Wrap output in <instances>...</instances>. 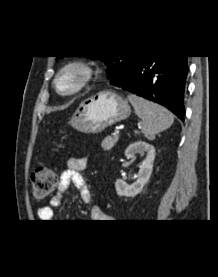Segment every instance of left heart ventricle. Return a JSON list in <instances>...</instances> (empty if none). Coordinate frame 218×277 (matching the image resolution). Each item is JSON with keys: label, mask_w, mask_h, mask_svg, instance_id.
<instances>
[{"label": "left heart ventricle", "mask_w": 218, "mask_h": 277, "mask_svg": "<svg viewBox=\"0 0 218 277\" xmlns=\"http://www.w3.org/2000/svg\"><path fill=\"white\" fill-rule=\"evenodd\" d=\"M74 83V78L72 75H67L66 77H64L62 80H61V87L62 88H70Z\"/></svg>", "instance_id": "b2bd125f"}]
</instances>
